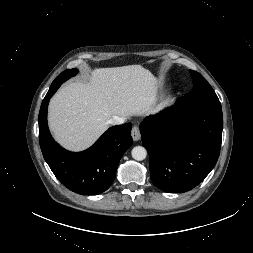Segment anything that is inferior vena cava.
I'll return each mask as SVG.
<instances>
[{
    "mask_svg": "<svg viewBox=\"0 0 253 253\" xmlns=\"http://www.w3.org/2000/svg\"><path fill=\"white\" fill-rule=\"evenodd\" d=\"M124 120L125 118L123 117L114 116L113 118L109 119L108 124L119 125V124H122Z\"/></svg>",
    "mask_w": 253,
    "mask_h": 253,
    "instance_id": "obj_1",
    "label": "inferior vena cava"
}]
</instances>
